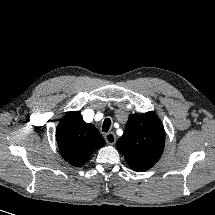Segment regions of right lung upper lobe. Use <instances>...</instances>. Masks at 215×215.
Segmentation results:
<instances>
[{
  "instance_id": "right-lung-upper-lobe-1",
  "label": "right lung upper lobe",
  "mask_w": 215,
  "mask_h": 215,
  "mask_svg": "<svg viewBox=\"0 0 215 215\" xmlns=\"http://www.w3.org/2000/svg\"><path fill=\"white\" fill-rule=\"evenodd\" d=\"M56 140L63 159L75 167L82 166L104 144L98 130L84 122L79 111L68 112L61 119L56 129Z\"/></svg>"
}]
</instances>
